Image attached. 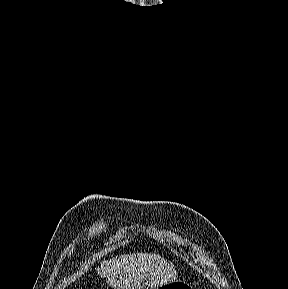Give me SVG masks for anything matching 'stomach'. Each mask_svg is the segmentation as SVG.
<instances>
[{
	"label": "stomach",
	"mask_w": 288,
	"mask_h": 289,
	"mask_svg": "<svg viewBox=\"0 0 288 289\" xmlns=\"http://www.w3.org/2000/svg\"><path fill=\"white\" fill-rule=\"evenodd\" d=\"M156 289H192L189 284L182 281H174L167 284H163Z\"/></svg>",
	"instance_id": "0dacf381"
}]
</instances>
